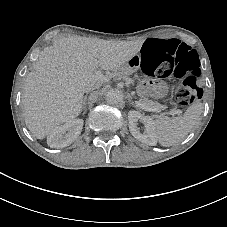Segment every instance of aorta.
<instances>
[{"label": "aorta", "mask_w": 227, "mask_h": 227, "mask_svg": "<svg viewBox=\"0 0 227 227\" xmlns=\"http://www.w3.org/2000/svg\"><path fill=\"white\" fill-rule=\"evenodd\" d=\"M123 100V94L117 89L109 90L106 93V101L109 104H118Z\"/></svg>", "instance_id": "aorta-1"}]
</instances>
